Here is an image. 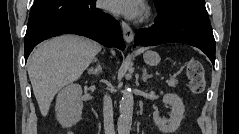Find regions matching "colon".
<instances>
[{
    "label": "colon",
    "mask_w": 239,
    "mask_h": 134,
    "mask_svg": "<svg viewBox=\"0 0 239 134\" xmlns=\"http://www.w3.org/2000/svg\"><path fill=\"white\" fill-rule=\"evenodd\" d=\"M186 69L191 93L193 95L201 94L205 88V70L202 63L191 59L188 61Z\"/></svg>",
    "instance_id": "obj_1"
}]
</instances>
